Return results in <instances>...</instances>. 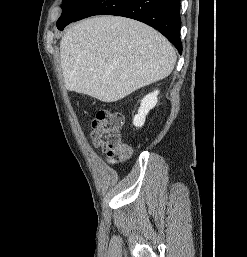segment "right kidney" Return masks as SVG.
<instances>
[{"mask_svg": "<svg viewBox=\"0 0 247 257\" xmlns=\"http://www.w3.org/2000/svg\"><path fill=\"white\" fill-rule=\"evenodd\" d=\"M159 94L158 90H155L152 93H149L141 100V105L138 110V114L134 116L133 118V124L136 127H142L145 122L146 115L149 113L151 109H153L157 102V96Z\"/></svg>", "mask_w": 247, "mask_h": 257, "instance_id": "right-kidney-1", "label": "right kidney"}]
</instances>
